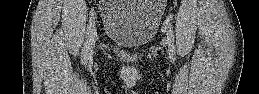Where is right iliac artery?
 <instances>
[{"label":"right iliac artery","mask_w":259,"mask_h":94,"mask_svg":"<svg viewBox=\"0 0 259 94\" xmlns=\"http://www.w3.org/2000/svg\"><path fill=\"white\" fill-rule=\"evenodd\" d=\"M95 21H94V12L93 10L91 11V17L87 26V31H86V37L89 38L90 34L93 31ZM88 59V39L85 42V45L82 50V62L85 63Z\"/></svg>","instance_id":"right-iliac-artery-1"}]
</instances>
